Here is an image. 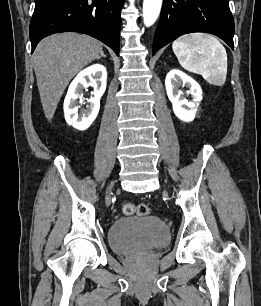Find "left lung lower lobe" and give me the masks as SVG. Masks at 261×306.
<instances>
[{
    "mask_svg": "<svg viewBox=\"0 0 261 306\" xmlns=\"http://www.w3.org/2000/svg\"><path fill=\"white\" fill-rule=\"evenodd\" d=\"M192 32L214 34L234 50V19L229 0H164L152 55L179 36Z\"/></svg>",
    "mask_w": 261,
    "mask_h": 306,
    "instance_id": "0a47b994",
    "label": "left lung lower lobe"
}]
</instances>
